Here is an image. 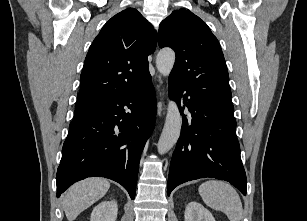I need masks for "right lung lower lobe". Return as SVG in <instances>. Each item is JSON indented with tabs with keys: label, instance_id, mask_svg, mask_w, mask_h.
<instances>
[{
	"label": "right lung lower lobe",
	"instance_id": "1",
	"mask_svg": "<svg viewBox=\"0 0 307 221\" xmlns=\"http://www.w3.org/2000/svg\"><path fill=\"white\" fill-rule=\"evenodd\" d=\"M155 115L149 76L141 88L73 118L57 170V197L76 181L98 176L120 183L134 199L140 156Z\"/></svg>",
	"mask_w": 307,
	"mask_h": 221
}]
</instances>
